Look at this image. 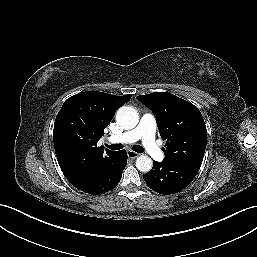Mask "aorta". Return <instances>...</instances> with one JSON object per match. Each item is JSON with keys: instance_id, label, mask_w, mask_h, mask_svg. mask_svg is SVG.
Segmentation results:
<instances>
[{"instance_id": "1", "label": "aorta", "mask_w": 257, "mask_h": 257, "mask_svg": "<svg viewBox=\"0 0 257 257\" xmlns=\"http://www.w3.org/2000/svg\"><path fill=\"white\" fill-rule=\"evenodd\" d=\"M116 121L124 129H132L139 122V115L136 109L130 106H123L117 110ZM153 162L147 155H141L136 159V167L141 172H149Z\"/></svg>"}]
</instances>
